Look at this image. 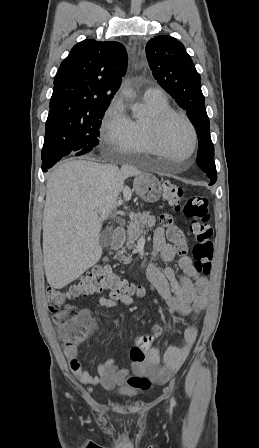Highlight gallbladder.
<instances>
[{"label":"gallbladder","mask_w":259,"mask_h":448,"mask_svg":"<svg viewBox=\"0 0 259 448\" xmlns=\"http://www.w3.org/2000/svg\"><path fill=\"white\" fill-rule=\"evenodd\" d=\"M112 242H113L112 228H108V230H103V232L99 234V246H101V248H108V246H111Z\"/></svg>","instance_id":"gallbladder-1"}]
</instances>
